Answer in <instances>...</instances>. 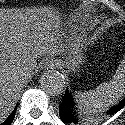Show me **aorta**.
Wrapping results in <instances>:
<instances>
[{
	"label": "aorta",
	"mask_w": 125,
	"mask_h": 125,
	"mask_svg": "<svg viewBox=\"0 0 125 125\" xmlns=\"http://www.w3.org/2000/svg\"><path fill=\"white\" fill-rule=\"evenodd\" d=\"M41 86L50 96H59L65 91V82L59 74L48 72L41 77Z\"/></svg>",
	"instance_id": "obj_1"
}]
</instances>
